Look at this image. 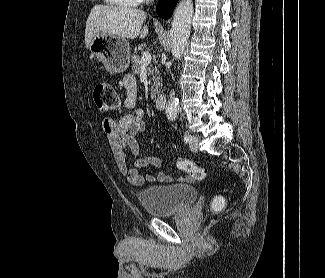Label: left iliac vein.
<instances>
[{
    "label": "left iliac vein",
    "instance_id": "1",
    "mask_svg": "<svg viewBox=\"0 0 325 278\" xmlns=\"http://www.w3.org/2000/svg\"><path fill=\"white\" fill-rule=\"evenodd\" d=\"M189 147H190L191 151L197 152L198 151V138H194V141L190 143Z\"/></svg>",
    "mask_w": 325,
    "mask_h": 278
}]
</instances>
